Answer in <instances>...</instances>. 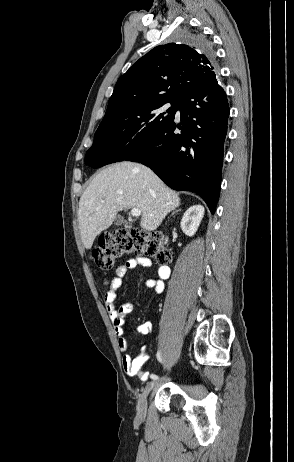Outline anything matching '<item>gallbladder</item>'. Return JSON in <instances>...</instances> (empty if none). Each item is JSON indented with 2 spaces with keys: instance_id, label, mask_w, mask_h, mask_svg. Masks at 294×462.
<instances>
[{
  "instance_id": "1",
  "label": "gallbladder",
  "mask_w": 294,
  "mask_h": 462,
  "mask_svg": "<svg viewBox=\"0 0 294 462\" xmlns=\"http://www.w3.org/2000/svg\"><path fill=\"white\" fill-rule=\"evenodd\" d=\"M123 223H124L123 217L118 216V217L115 219V224H116L117 226L122 225Z\"/></svg>"
}]
</instances>
